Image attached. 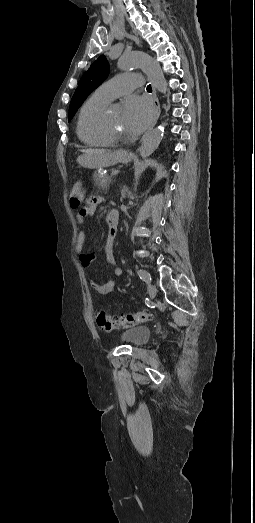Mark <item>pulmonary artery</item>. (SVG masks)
<instances>
[{
	"label": "pulmonary artery",
	"mask_w": 255,
	"mask_h": 523,
	"mask_svg": "<svg viewBox=\"0 0 255 523\" xmlns=\"http://www.w3.org/2000/svg\"><path fill=\"white\" fill-rule=\"evenodd\" d=\"M141 83L142 77L134 73L121 72L118 77L114 76L109 82L102 84L99 90L111 100L118 96L127 98L131 92H136Z\"/></svg>",
	"instance_id": "e3ab8cb5"
}]
</instances>
